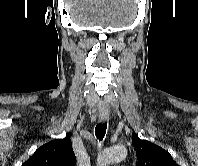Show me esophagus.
Listing matches in <instances>:
<instances>
[{"label":"esophagus","instance_id":"34e87169","mask_svg":"<svg viewBox=\"0 0 198 166\" xmlns=\"http://www.w3.org/2000/svg\"><path fill=\"white\" fill-rule=\"evenodd\" d=\"M108 119H109V115L106 114V113H102V114L99 115V121L101 123L106 122Z\"/></svg>","mask_w":198,"mask_h":166}]
</instances>
